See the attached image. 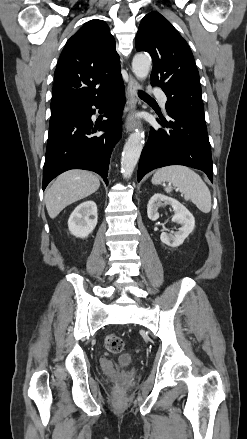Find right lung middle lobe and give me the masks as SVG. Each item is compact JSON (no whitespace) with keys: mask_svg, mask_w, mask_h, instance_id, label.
<instances>
[{"mask_svg":"<svg viewBox=\"0 0 247 439\" xmlns=\"http://www.w3.org/2000/svg\"><path fill=\"white\" fill-rule=\"evenodd\" d=\"M65 112H67V111L51 113V118H50V120H53V119L58 118L59 116H61V115L64 114Z\"/></svg>","mask_w":247,"mask_h":439,"instance_id":"dd1d6c3e","label":"right lung middle lobe"}]
</instances>
